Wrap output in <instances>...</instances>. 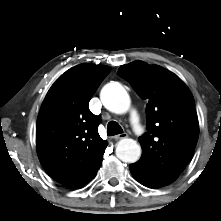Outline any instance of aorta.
<instances>
[{"instance_id": "aorta-1", "label": "aorta", "mask_w": 221, "mask_h": 221, "mask_svg": "<svg viewBox=\"0 0 221 221\" xmlns=\"http://www.w3.org/2000/svg\"><path fill=\"white\" fill-rule=\"evenodd\" d=\"M100 99L106 109L116 114L126 113L131 104L129 94L118 82L106 84L101 90ZM116 155L123 162L135 163L141 156V147L133 139L124 138L117 144Z\"/></svg>"}]
</instances>
